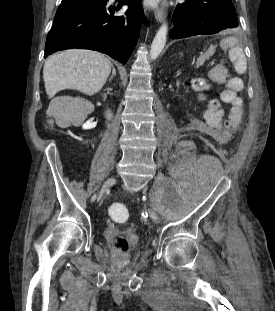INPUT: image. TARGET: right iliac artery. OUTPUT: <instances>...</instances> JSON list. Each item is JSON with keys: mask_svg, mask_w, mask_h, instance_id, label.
Returning <instances> with one entry per match:
<instances>
[{"mask_svg": "<svg viewBox=\"0 0 275 311\" xmlns=\"http://www.w3.org/2000/svg\"><path fill=\"white\" fill-rule=\"evenodd\" d=\"M95 197H96V196L94 195V196L92 197V200H94V199H95Z\"/></svg>", "mask_w": 275, "mask_h": 311, "instance_id": "obj_1", "label": "right iliac artery"}]
</instances>
